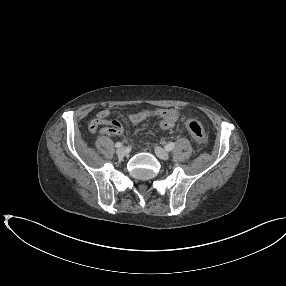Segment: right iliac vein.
<instances>
[{
    "label": "right iliac vein",
    "instance_id": "obj_1",
    "mask_svg": "<svg viewBox=\"0 0 286 286\" xmlns=\"http://www.w3.org/2000/svg\"><path fill=\"white\" fill-rule=\"evenodd\" d=\"M116 153L119 157H124L127 154V151L124 147H120L117 149Z\"/></svg>",
    "mask_w": 286,
    "mask_h": 286
}]
</instances>
